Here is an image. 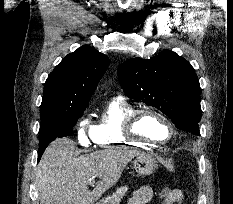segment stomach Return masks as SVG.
Segmentation results:
<instances>
[{"instance_id":"obj_1","label":"stomach","mask_w":233,"mask_h":204,"mask_svg":"<svg viewBox=\"0 0 233 204\" xmlns=\"http://www.w3.org/2000/svg\"><path fill=\"white\" fill-rule=\"evenodd\" d=\"M133 166L135 171L142 176H148L156 169V161L148 154H140L133 160ZM99 204H109L102 201Z\"/></svg>"}]
</instances>
